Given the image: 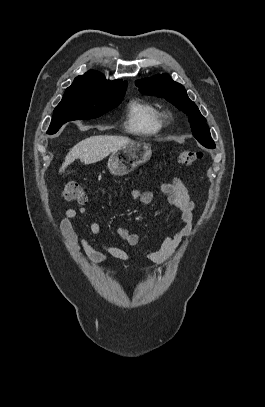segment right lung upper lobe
<instances>
[{"label":"right lung upper lobe","mask_w":265,"mask_h":407,"mask_svg":"<svg viewBox=\"0 0 265 407\" xmlns=\"http://www.w3.org/2000/svg\"><path fill=\"white\" fill-rule=\"evenodd\" d=\"M80 81L93 82V83H98V84H102V85H110V86L127 85V82L126 81L123 82L122 80L107 81L102 74L94 72V71H89L83 76L76 77L74 80V82H80Z\"/></svg>","instance_id":"cb5924a9"}]
</instances>
